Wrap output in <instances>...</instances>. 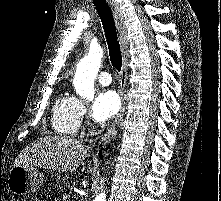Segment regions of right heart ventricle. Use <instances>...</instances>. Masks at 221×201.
<instances>
[{"mask_svg": "<svg viewBox=\"0 0 221 201\" xmlns=\"http://www.w3.org/2000/svg\"><path fill=\"white\" fill-rule=\"evenodd\" d=\"M78 100L61 95L55 102L52 113V126L61 135H74L80 125L78 117Z\"/></svg>", "mask_w": 221, "mask_h": 201, "instance_id": "1", "label": "right heart ventricle"}]
</instances>
